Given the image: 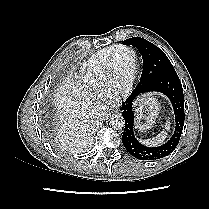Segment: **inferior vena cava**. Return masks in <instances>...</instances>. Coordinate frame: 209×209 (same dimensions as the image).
<instances>
[{"label": "inferior vena cava", "instance_id": "1", "mask_svg": "<svg viewBox=\"0 0 209 209\" xmlns=\"http://www.w3.org/2000/svg\"><path fill=\"white\" fill-rule=\"evenodd\" d=\"M107 111L106 105H96L93 109L95 115H101Z\"/></svg>", "mask_w": 209, "mask_h": 209}]
</instances>
